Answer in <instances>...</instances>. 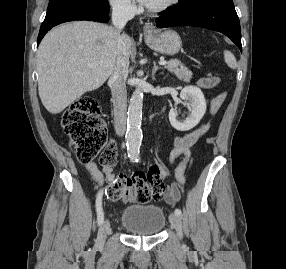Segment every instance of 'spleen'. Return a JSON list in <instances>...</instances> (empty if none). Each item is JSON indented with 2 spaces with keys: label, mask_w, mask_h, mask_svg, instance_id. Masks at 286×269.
Returning <instances> with one entry per match:
<instances>
[{
  "label": "spleen",
  "mask_w": 286,
  "mask_h": 269,
  "mask_svg": "<svg viewBox=\"0 0 286 269\" xmlns=\"http://www.w3.org/2000/svg\"><path fill=\"white\" fill-rule=\"evenodd\" d=\"M224 59H225V62L227 63V65L230 68L236 69L237 62H236V59H235L234 55L230 51H225L224 52Z\"/></svg>",
  "instance_id": "spleen-1"
}]
</instances>
